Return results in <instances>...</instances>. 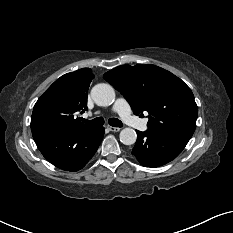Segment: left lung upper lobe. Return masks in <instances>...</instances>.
Returning a JSON list of instances; mask_svg holds the SVG:
<instances>
[{
  "mask_svg": "<svg viewBox=\"0 0 233 233\" xmlns=\"http://www.w3.org/2000/svg\"><path fill=\"white\" fill-rule=\"evenodd\" d=\"M130 103L135 115L147 111L148 129L191 138L198 116L191 89L155 65H122L103 75Z\"/></svg>",
  "mask_w": 233,
  "mask_h": 233,
  "instance_id": "1",
  "label": "left lung upper lobe"
}]
</instances>
